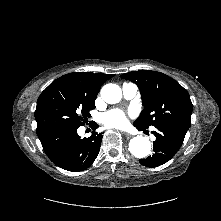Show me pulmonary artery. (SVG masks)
I'll list each match as a JSON object with an SVG mask.
<instances>
[{"label": "pulmonary artery", "mask_w": 221, "mask_h": 221, "mask_svg": "<svg viewBox=\"0 0 221 221\" xmlns=\"http://www.w3.org/2000/svg\"><path fill=\"white\" fill-rule=\"evenodd\" d=\"M138 87L134 83H124L122 85V93L125 99H132L136 96Z\"/></svg>", "instance_id": "1"}]
</instances>
